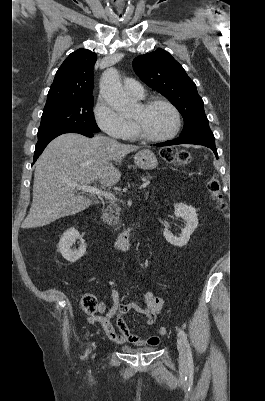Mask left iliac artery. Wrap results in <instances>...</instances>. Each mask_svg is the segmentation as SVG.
<instances>
[{
  "instance_id": "1",
  "label": "left iliac artery",
  "mask_w": 265,
  "mask_h": 401,
  "mask_svg": "<svg viewBox=\"0 0 265 401\" xmlns=\"http://www.w3.org/2000/svg\"><path fill=\"white\" fill-rule=\"evenodd\" d=\"M179 332V336L182 338L185 347H186V351H187V360H188V366L189 368L193 369L194 365H193V356H192V351L187 339V334L185 333L184 330L180 329L178 330Z\"/></svg>"
}]
</instances>
